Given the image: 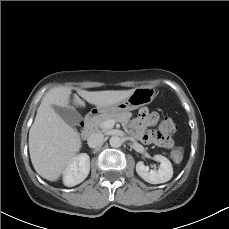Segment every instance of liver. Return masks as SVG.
Masks as SVG:
<instances>
[{
    "instance_id": "1",
    "label": "liver",
    "mask_w": 229,
    "mask_h": 229,
    "mask_svg": "<svg viewBox=\"0 0 229 229\" xmlns=\"http://www.w3.org/2000/svg\"><path fill=\"white\" fill-rule=\"evenodd\" d=\"M72 89L66 86L52 88L43 98L37 109L35 120L29 131V153L36 172L49 181H57L68 164L81 149L80 134L68 125L53 106L71 107ZM134 89L86 91L77 93L95 106H108L128 98ZM78 95L73 96L75 106L84 107Z\"/></svg>"
}]
</instances>
